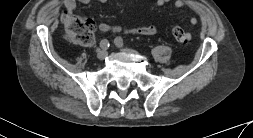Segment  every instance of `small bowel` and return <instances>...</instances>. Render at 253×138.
Returning <instances> with one entry per match:
<instances>
[{"instance_id": "obj_1", "label": "small bowel", "mask_w": 253, "mask_h": 138, "mask_svg": "<svg viewBox=\"0 0 253 138\" xmlns=\"http://www.w3.org/2000/svg\"><path fill=\"white\" fill-rule=\"evenodd\" d=\"M83 4L90 3L93 0H77ZM76 0H64L63 4L67 12L71 13L75 10L77 6ZM101 3L107 2L108 0H97ZM171 0H154L155 6H163L170 2ZM190 5L185 0H176L174 2L175 8H182L184 6ZM192 24H196L198 19L193 17L190 19ZM97 30L101 32H112V33H123V34H138V35H154L157 33L158 29L155 25H141L133 28H122L120 26L110 25L106 22H100L96 25Z\"/></svg>"}]
</instances>
